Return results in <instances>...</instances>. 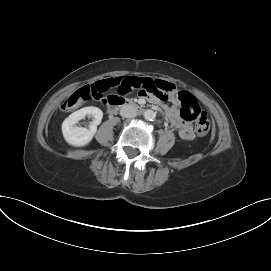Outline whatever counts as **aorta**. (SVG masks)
<instances>
[{"mask_svg": "<svg viewBox=\"0 0 271 271\" xmlns=\"http://www.w3.org/2000/svg\"><path fill=\"white\" fill-rule=\"evenodd\" d=\"M155 117H156V114H155V112L153 110L148 109V110H146L144 112V118L146 120H150L151 121V120H154Z\"/></svg>", "mask_w": 271, "mask_h": 271, "instance_id": "obj_1", "label": "aorta"}]
</instances>
